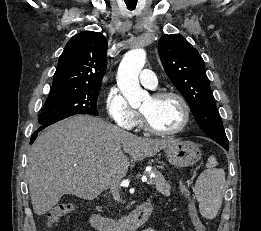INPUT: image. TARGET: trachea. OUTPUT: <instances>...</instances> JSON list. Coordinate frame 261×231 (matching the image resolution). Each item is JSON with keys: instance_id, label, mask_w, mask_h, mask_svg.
I'll return each mask as SVG.
<instances>
[{"instance_id": "1", "label": "trachea", "mask_w": 261, "mask_h": 231, "mask_svg": "<svg viewBox=\"0 0 261 231\" xmlns=\"http://www.w3.org/2000/svg\"><path fill=\"white\" fill-rule=\"evenodd\" d=\"M125 3H126L127 8H128L129 10H133V9L136 8L137 0H133V1L125 0Z\"/></svg>"}]
</instances>
